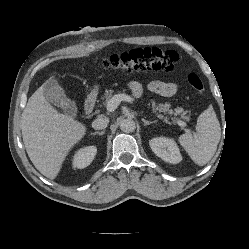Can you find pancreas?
Returning a JSON list of instances; mask_svg holds the SVG:
<instances>
[{"label":"pancreas","instance_id":"1","mask_svg":"<svg viewBox=\"0 0 249 249\" xmlns=\"http://www.w3.org/2000/svg\"><path fill=\"white\" fill-rule=\"evenodd\" d=\"M113 97V90H106L102 99L104 100L103 104L106 105L108 101ZM152 110L153 112L156 113V115L160 118L163 119L165 122H168L169 118L168 115H172L173 111L171 109V105L169 103H160L156 104L155 102L152 103ZM183 109L181 107H178L175 110V115L181 114V117H184L182 114ZM185 118V117H184ZM174 122L177 121V118L173 117L172 118Z\"/></svg>","mask_w":249,"mask_h":249}]
</instances>
